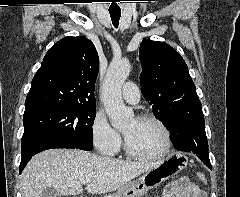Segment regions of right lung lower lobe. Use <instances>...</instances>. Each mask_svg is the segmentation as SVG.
<instances>
[{"label":"right lung lower lobe","mask_w":240,"mask_h":197,"mask_svg":"<svg viewBox=\"0 0 240 197\" xmlns=\"http://www.w3.org/2000/svg\"><path fill=\"white\" fill-rule=\"evenodd\" d=\"M54 148H75V147L68 143H64L54 139L35 140L23 143L21 147L22 158L19 167L20 173L22 172L28 161L32 158V156L41 151Z\"/></svg>","instance_id":"98d812e1"}]
</instances>
